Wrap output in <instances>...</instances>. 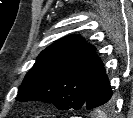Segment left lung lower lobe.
<instances>
[{
  "mask_svg": "<svg viewBox=\"0 0 133 118\" xmlns=\"http://www.w3.org/2000/svg\"><path fill=\"white\" fill-rule=\"evenodd\" d=\"M110 103H112V90L106 71L104 70L99 80L93 87L90 95L88 96L85 102V107L87 109L96 107L107 109L110 107H107Z\"/></svg>",
  "mask_w": 133,
  "mask_h": 118,
  "instance_id": "left-lung-lower-lobe-1",
  "label": "left lung lower lobe"
}]
</instances>
